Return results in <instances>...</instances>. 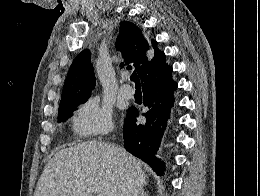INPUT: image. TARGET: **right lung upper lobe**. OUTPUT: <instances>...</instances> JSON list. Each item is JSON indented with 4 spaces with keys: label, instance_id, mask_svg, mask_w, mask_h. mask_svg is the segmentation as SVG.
<instances>
[{
    "label": "right lung upper lobe",
    "instance_id": "obj_1",
    "mask_svg": "<svg viewBox=\"0 0 260 196\" xmlns=\"http://www.w3.org/2000/svg\"><path fill=\"white\" fill-rule=\"evenodd\" d=\"M116 50L122 54L125 65H133L142 84L159 79L172 70V67L166 64L164 52L157 48L156 41L152 40L150 43L133 23H120ZM120 66H124L123 62ZM94 87L95 76L90 62V51L85 49L74 59L68 71L59 110L73 101L90 96Z\"/></svg>",
    "mask_w": 260,
    "mask_h": 196
}]
</instances>
